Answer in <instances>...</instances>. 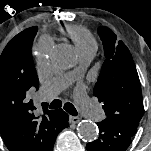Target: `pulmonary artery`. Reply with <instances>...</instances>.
Instances as JSON below:
<instances>
[{"label": "pulmonary artery", "instance_id": "obj_1", "mask_svg": "<svg viewBox=\"0 0 151 151\" xmlns=\"http://www.w3.org/2000/svg\"><path fill=\"white\" fill-rule=\"evenodd\" d=\"M95 52H87L80 55L81 70L84 69L93 59ZM65 86L64 81L49 82L42 87V94L48 97H52L59 93ZM76 101L84 113H86L93 120H100L102 118L101 110L91 103L85 93L83 86H79L76 89Z\"/></svg>", "mask_w": 151, "mask_h": 151}]
</instances>
